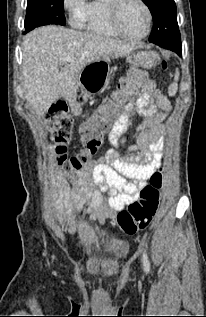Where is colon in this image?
I'll return each mask as SVG.
<instances>
[{"instance_id":"obj_1","label":"colon","mask_w":206,"mask_h":317,"mask_svg":"<svg viewBox=\"0 0 206 317\" xmlns=\"http://www.w3.org/2000/svg\"><path fill=\"white\" fill-rule=\"evenodd\" d=\"M139 67L128 69L121 78L116 90L81 126L83 152L76 156L67 155V144L72 136L73 119L68 114L67 106L56 105L47 115V126L51 131L52 162L67 173L82 170L105 143L111 128L123 114L126 102L136 95L139 88L147 81L145 69L159 65L166 69L167 63L156 53L144 55L138 62ZM162 172L156 171L150 177L149 184L140 191L139 199L131 203L127 210L121 211L114 221L126 234H134L147 227L152 221L160 201Z\"/></svg>"}]
</instances>
